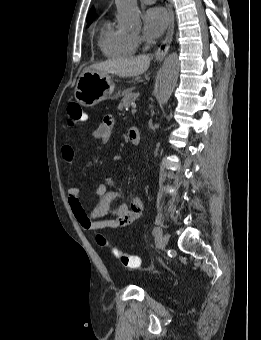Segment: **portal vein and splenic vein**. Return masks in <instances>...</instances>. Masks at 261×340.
Instances as JSON below:
<instances>
[{
	"mask_svg": "<svg viewBox=\"0 0 261 340\" xmlns=\"http://www.w3.org/2000/svg\"><path fill=\"white\" fill-rule=\"evenodd\" d=\"M136 112H137L136 105H133L132 106V113H136Z\"/></svg>",
	"mask_w": 261,
	"mask_h": 340,
	"instance_id": "1",
	"label": "portal vein and splenic vein"
}]
</instances>
